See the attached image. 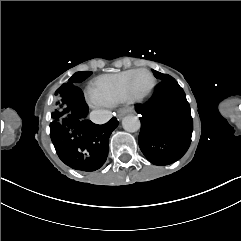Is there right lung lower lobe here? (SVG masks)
<instances>
[{"instance_id": "98d812e1", "label": "right lung lower lobe", "mask_w": 241, "mask_h": 241, "mask_svg": "<svg viewBox=\"0 0 241 241\" xmlns=\"http://www.w3.org/2000/svg\"><path fill=\"white\" fill-rule=\"evenodd\" d=\"M70 113L50 124V136L59 158L69 167L95 171L102 167L108 155V141L119 122L116 117L103 125L86 119L88 106L77 85L68 89Z\"/></svg>"}]
</instances>
